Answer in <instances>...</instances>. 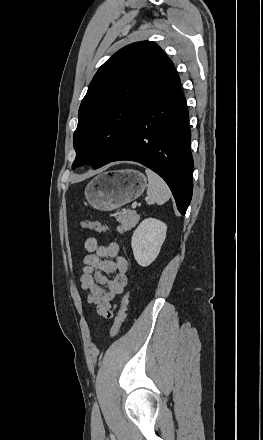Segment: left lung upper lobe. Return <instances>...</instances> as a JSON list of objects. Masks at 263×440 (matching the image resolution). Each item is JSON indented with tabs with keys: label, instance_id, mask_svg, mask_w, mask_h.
Masks as SVG:
<instances>
[{
	"label": "left lung upper lobe",
	"instance_id": "1",
	"mask_svg": "<svg viewBox=\"0 0 263 440\" xmlns=\"http://www.w3.org/2000/svg\"><path fill=\"white\" fill-rule=\"evenodd\" d=\"M172 65L156 43L141 41L120 49L99 68L79 108L73 168L89 164L97 169L120 152Z\"/></svg>",
	"mask_w": 263,
	"mask_h": 440
}]
</instances>
